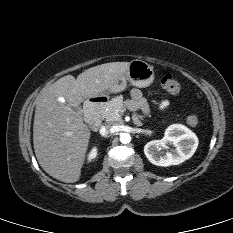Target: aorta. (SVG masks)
Wrapping results in <instances>:
<instances>
[{"label": "aorta", "mask_w": 233, "mask_h": 233, "mask_svg": "<svg viewBox=\"0 0 233 233\" xmlns=\"http://www.w3.org/2000/svg\"><path fill=\"white\" fill-rule=\"evenodd\" d=\"M130 141H131V136H130V134H128V133H122V134L120 135V142H121L122 144H128V143H130Z\"/></svg>", "instance_id": "1"}]
</instances>
